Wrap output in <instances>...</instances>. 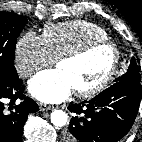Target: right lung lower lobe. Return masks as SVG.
<instances>
[{"mask_svg": "<svg viewBox=\"0 0 142 142\" xmlns=\"http://www.w3.org/2000/svg\"><path fill=\"white\" fill-rule=\"evenodd\" d=\"M22 84L19 77L0 82V142H21L28 114L39 110L33 99L25 98ZM18 98L23 100L20 104L15 103Z\"/></svg>", "mask_w": 142, "mask_h": 142, "instance_id": "right-lung-lower-lobe-1", "label": "right lung lower lobe"}]
</instances>
